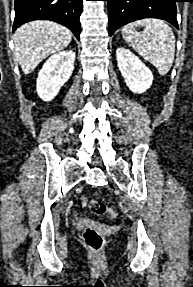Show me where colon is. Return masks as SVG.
Here are the masks:
<instances>
[{"label":"colon","mask_w":193,"mask_h":287,"mask_svg":"<svg viewBox=\"0 0 193 287\" xmlns=\"http://www.w3.org/2000/svg\"><path fill=\"white\" fill-rule=\"evenodd\" d=\"M81 202L96 215L117 217L116 211L101 201L83 197ZM83 241L91 251L98 252L103 247L104 237L95 227L87 226L83 231Z\"/></svg>","instance_id":"5ec220e1"}]
</instances>
